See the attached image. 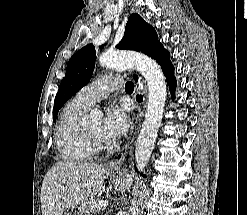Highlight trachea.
<instances>
[{
  "label": "trachea",
  "mask_w": 247,
  "mask_h": 215,
  "mask_svg": "<svg viewBox=\"0 0 247 215\" xmlns=\"http://www.w3.org/2000/svg\"><path fill=\"white\" fill-rule=\"evenodd\" d=\"M125 90L126 91H133L134 90V84H133V82L128 81L125 84Z\"/></svg>",
  "instance_id": "obj_1"
}]
</instances>
